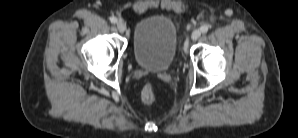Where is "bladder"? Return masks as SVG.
Segmentation results:
<instances>
[{"label": "bladder", "mask_w": 298, "mask_h": 138, "mask_svg": "<svg viewBox=\"0 0 298 138\" xmlns=\"http://www.w3.org/2000/svg\"><path fill=\"white\" fill-rule=\"evenodd\" d=\"M178 31L164 15L139 20L133 30L132 51L136 63L152 71L167 70L177 52Z\"/></svg>", "instance_id": "obj_1"}]
</instances>
